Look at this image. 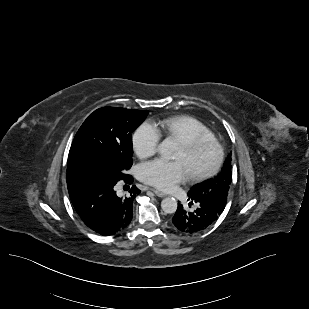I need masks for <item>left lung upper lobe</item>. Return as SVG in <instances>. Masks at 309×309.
Returning a JSON list of instances; mask_svg holds the SVG:
<instances>
[{
  "mask_svg": "<svg viewBox=\"0 0 309 309\" xmlns=\"http://www.w3.org/2000/svg\"><path fill=\"white\" fill-rule=\"evenodd\" d=\"M231 153L223 165L222 171L215 178L208 179L202 183L194 185L188 194L191 196L210 199L221 203L227 202L229 186L232 182Z\"/></svg>",
  "mask_w": 309,
  "mask_h": 309,
  "instance_id": "obj_1",
  "label": "left lung upper lobe"
}]
</instances>
